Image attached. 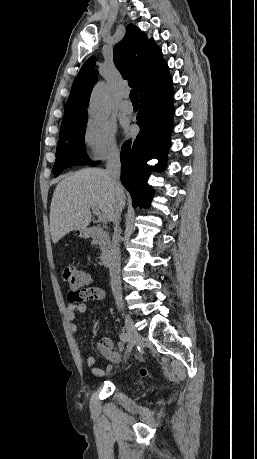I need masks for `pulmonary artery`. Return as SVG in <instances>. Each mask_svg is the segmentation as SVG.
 <instances>
[{"instance_id":"1","label":"pulmonary artery","mask_w":257,"mask_h":459,"mask_svg":"<svg viewBox=\"0 0 257 459\" xmlns=\"http://www.w3.org/2000/svg\"><path fill=\"white\" fill-rule=\"evenodd\" d=\"M127 98H128V95H125L124 100L120 104V110L123 113L129 114V113H132L133 111V105Z\"/></svg>"}]
</instances>
